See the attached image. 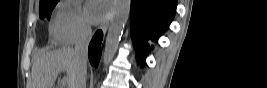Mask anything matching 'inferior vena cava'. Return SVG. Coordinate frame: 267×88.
Returning <instances> with one entry per match:
<instances>
[{"instance_id": "inferior-vena-cava-1", "label": "inferior vena cava", "mask_w": 267, "mask_h": 88, "mask_svg": "<svg viewBox=\"0 0 267 88\" xmlns=\"http://www.w3.org/2000/svg\"><path fill=\"white\" fill-rule=\"evenodd\" d=\"M91 35V26L88 24L84 25L75 42L74 54L79 65L75 88H86L87 55Z\"/></svg>"}]
</instances>
